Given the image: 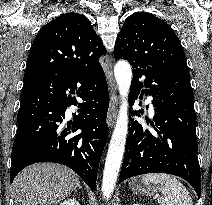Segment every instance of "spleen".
<instances>
[{"instance_id": "spleen-1", "label": "spleen", "mask_w": 212, "mask_h": 205, "mask_svg": "<svg viewBox=\"0 0 212 205\" xmlns=\"http://www.w3.org/2000/svg\"><path fill=\"white\" fill-rule=\"evenodd\" d=\"M142 182L158 186L162 193L158 198L160 205H193L189 192L175 176L151 173L144 175Z\"/></svg>"}]
</instances>
